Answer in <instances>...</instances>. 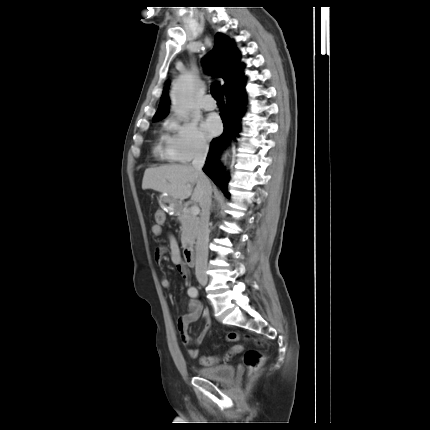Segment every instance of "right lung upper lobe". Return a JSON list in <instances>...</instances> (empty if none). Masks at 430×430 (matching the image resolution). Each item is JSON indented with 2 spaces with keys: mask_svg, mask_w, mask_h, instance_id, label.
<instances>
[{
  "mask_svg": "<svg viewBox=\"0 0 430 430\" xmlns=\"http://www.w3.org/2000/svg\"><path fill=\"white\" fill-rule=\"evenodd\" d=\"M209 59L210 62H208V60L204 61V66L206 70L209 68L211 74L220 76L225 81L223 85L224 92L243 82V65L238 61V52H236V49L233 47V43L225 36L221 34L215 36V45L210 53ZM167 90L168 83H166V87H164L160 104L153 120L162 119L168 113L169 99Z\"/></svg>",
  "mask_w": 430,
  "mask_h": 430,
  "instance_id": "cb5924a9",
  "label": "right lung upper lobe"
}]
</instances>
